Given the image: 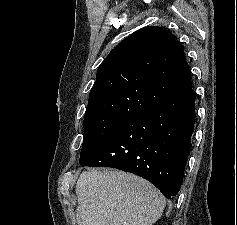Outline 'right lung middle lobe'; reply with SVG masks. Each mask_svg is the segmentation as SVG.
Returning a JSON list of instances; mask_svg holds the SVG:
<instances>
[{
	"mask_svg": "<svg viewBox=\"0 0 237 225\" xmlns=\"http://www.w3.org/2000/svg\"><path fill=\"white\" fill-rule=\"evenodd\" d=\"M130 118L104 117L84 120V139L80 160L107 137L122 127Z\"/></svg>",
	"mask_w": 237,
	"mask_h": 225,
	"instance_id": "1",
	"label": "right lung middle lobe"
}]
</instances>
